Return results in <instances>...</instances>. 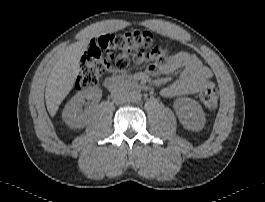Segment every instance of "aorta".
I'll return each mask as SVG.
<instances>
[{
    "label": "aorta",
    "instance_id": "762f6f07",
    "mask_svg": "<svg viewBox=\"0 0 265 202\" xmlns=\"http://www.w3.org/2000/svg\"><path fill=\"white\" fill-rule=\"evenodd\" d=\"M141 98H142V95H141L140 91H138V90H131L128 93V101L131 103H137L141 100Z\"/></svg>",
    "mask_w": 265,
    "mask_h": 202
}]
</instances>
